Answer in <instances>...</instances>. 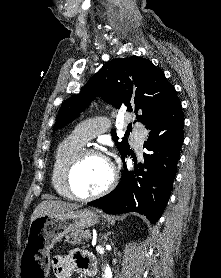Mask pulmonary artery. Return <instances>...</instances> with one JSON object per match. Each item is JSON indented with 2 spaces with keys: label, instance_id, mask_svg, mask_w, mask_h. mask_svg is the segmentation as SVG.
Instances as JSON below:
<instances>
[{
  "label": "pulmonary artery",
  "instance_id": "e3ab8cb5",
  "mask_svg": "<svg viewBox=\"0 0 221 278\" xmlns=\"http://www.w3.org/2000/svg\"><path fill=\"white\" fill-rule=\"evenodd\" d=\"M105 131V121H91L85 122L76 127L72 136L82 143H87L96 135ZM144 129L136 127L135 142L137 146H141L144 139Z\"/></svg>",
  "mask_w": 221,
  "mask_h": 278
}]
</instances>
